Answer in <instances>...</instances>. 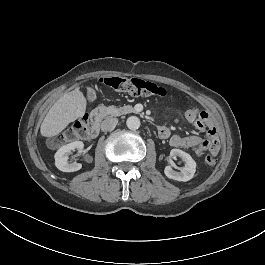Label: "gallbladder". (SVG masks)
<instances>
[{
    "label": "gallbladder",
    "mask_w": 265,
    "mask_h": 265,
    "mask_svg": "<svg viewBox=\"0 0 265 265\" xmlns=\"http://www.w3.org/2000/svg\"><path fill=\"white\" fill-rule=\"evenodd\" d=\"M86 92H87V97L91 102H96L97 100V94L96 91L94 89H92L91 87H86Z\"/></svg>",
    "instance_id": "obj_1"
}]
</instances>
